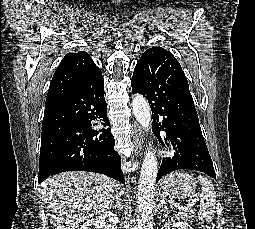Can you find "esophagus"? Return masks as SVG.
Instances as JSON below:
<instances>
[{
  "mask_svg": "<svg viewBox=\"0 0 255 229\" xmlns=\"http://www.w3.org/2000/svg\"><path fill=\"white\" fill-rule=\"evenodd\" d=\"M132 137L135 143V154L141 156L143 151V134L142 129L138 124H134Z\"/></svg>",
  "mask_w": 255,
  "mask_h": 229,
  "instance_id": "1",
  "label": "esophagus"
}]
</instances>
